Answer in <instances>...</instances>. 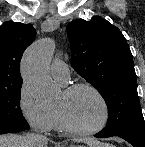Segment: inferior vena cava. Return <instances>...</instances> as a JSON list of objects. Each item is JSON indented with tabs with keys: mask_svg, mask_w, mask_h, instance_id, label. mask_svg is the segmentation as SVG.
<instances>
[{
	"mask_svg": "<svg viewBox=\"0 0 145 147\" xmlns=\"http://www.w3.org/2000/svg\"><path fill=\"white\" fill-rule=\"evenodd\" d=\"M27 138L38 147L46 146L47 144V137L37 131L28 134Z\"/></svg>",
	"mask_w": 145,
	"mask_h": 147,
	"instance_id": "602c4592",
	"label": "inferior vena cava"
}]
</instances>
